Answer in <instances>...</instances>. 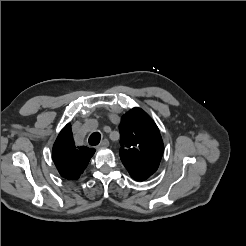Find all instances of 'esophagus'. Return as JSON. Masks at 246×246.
<instances>
[{"label": "esophagus", "mask_w": 246, "mask_h": 246, "mask_svg": "<svg viewBox=\"0 0 246 246\" xmlns=\"http://www.w3.org/2000/svg\"><path fill=\"white\" fill-rule=\"evenodd\" d=\"M108 146H109L108 139H103L99 144V147H108Z\"/></svg>", "instance_id": "esophagus-1"}]
</instances>
